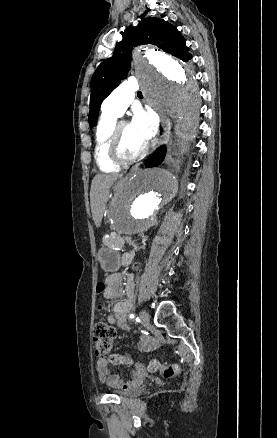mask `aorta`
Returning a JSON list of instances; mask_svg holds the SVG:
<instances>
[{
  "instance_id": "1",
  "label": "aorta",
  "mask_w": 277,
  "mask_h": 438,
  "mask_svg": "<svg viewBox=\"0 0 277 438\" xmlns=\"http://www.w3.org/2000/svg\"><path fill=\"white\" fill-rule=\"evenodd\" d=\"M141 88L161 114L177 119L182 140L194 134L198 120V84L193 69L155 50L134 58ZM176 191L175 178L165 169H148L133 176L115 196L111 207L113 227L125 235L150 228Z\"/></svg>"
}]
</instances>
